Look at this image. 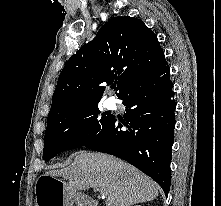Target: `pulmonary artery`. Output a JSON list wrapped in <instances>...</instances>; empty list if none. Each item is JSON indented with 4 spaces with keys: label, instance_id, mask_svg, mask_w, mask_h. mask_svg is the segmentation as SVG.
<instances>
[{
    "label": "pulmonary artery",
    "instance_id": "obj_1",
    "mask_svg": "<svg viewBox=\"0 0 221 206\" xmlns=\"http://www.w3.org/2000/svg\"><path fill=\"white\" fill-rule=\"evenodd\" d=\"M106 104H107V107L110 108V107H112L114 105V102L109 99V100H107Z\"/></svg>",
    "mask_w": 221,
    "mask_h": 206
}]
</instances>
